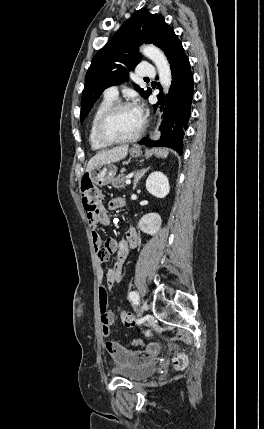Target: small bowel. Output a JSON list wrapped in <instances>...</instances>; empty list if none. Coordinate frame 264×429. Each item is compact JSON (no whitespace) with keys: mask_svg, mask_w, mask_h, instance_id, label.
Instances as JSON below:
<instances>
[{"mask_svg":"<svg viewBox=\"0 0 264 429\" xmlns=\"http://www.w3.org/2000/svg\"><path fill=\"white\" fill-rule=\"evenodd\" d=\"M124 206V200L120 197L111 199L108 203L110 210H118ZM89 226L92 228V242L96 252V260L98 264L97 273L99 278V307L100 319L102 326V334L105 338L104 344L106 351L113 360L120 366H135L147 363L157 354L158 345L156 343L144 344L141 350H130L122 344L108 339L111 331V326L114 323L115 315L108 307L107 290L111 289L121 279L123 265L127 259L130 249H133L138 244L137 232L134 228L129 227L125 230L124 236L120 241L114 238L102 240L96 232L98 225H108L110 217L107 210L102 207L97 214L93 216L87 215ZM111 254H115L116 259L114 264L107 270L106 282H102L103 269L101 264L105 262Z\"/></svg>","mask_w":264,"mask_h":429,"instance_id":"obj_1","label":"small bowel"}]
</instances>
